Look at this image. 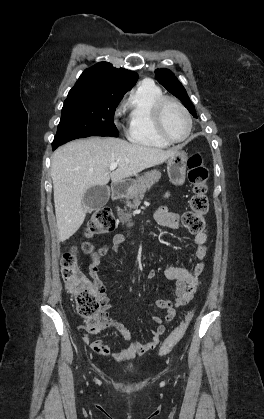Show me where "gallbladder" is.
<instances>
[{
	"label": "gallbladder",
	"instance_id": "gallbladder-1",
	"mask_svg": "<svg viewBox=\"0 0 264 419\" xmlns=\"http://www.w3.org/2000/svg\"><path fill=\"white\" fill-rule=\"evenodd\" d=\"M108 186L90 187L84 194L83 205L88 212L102 208L109 200Z\"/></svg>",
	"mask_w": 264,
	"mask_h": 419
}]
</instances>
